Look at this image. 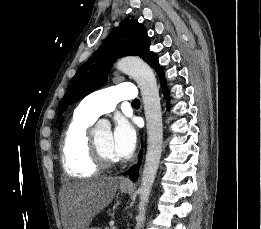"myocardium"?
Segmentation results:
<instances>
[{
  "label": "myocardium",
  "instance_id": "obj_1",
  "mask_svg": "<svg viewBox=\"0 0 261 229\" xmlns=\"http://www.w3.org/2000/svg\"><path fill=\"white\" fill-rule=\"evenodd\" d=\"M93 148H94V154L95 158L98 162V164L103 168L112 167L117 164V159H111L109 158L101 149L99 143L97 140L93 141Z\"/></svg>",
  "mask_w": 261,
  "mask_h": 229
}]
</instances>
